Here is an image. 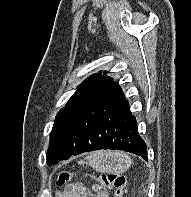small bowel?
<instances>
[{
  "label": "small bowel",
  "instance_id": "1",
  "mask_svg": "<svg viewBox=\"0 0 191 197\" xmlns=\"http://www.w3.org/2000/svg\"><path fill=\"white\" fill-rule=\"evenodd\" d=\"M56 197H107V191L99 186L92 190L83 184H68L56 194Z\"/></svg>",
  "mask_w": 191,
  "mask_h": 197
}]
</instances>
